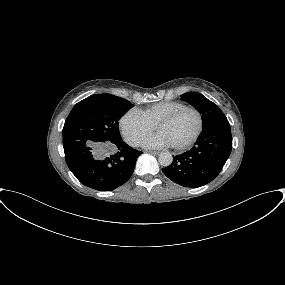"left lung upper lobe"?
Instances as JSON below:
<instances>
[{
	"instance_id": "5c2ea615",
	"label": "left lung upper lobe",
	"mask_w": 285,
	"mask_h": 285,
	"mask_svg": "<svg viewBox=\"0 0 285 285\" xmlns=\"http://www.w3.org/2000/svg\"><path fill=\"white\" fill-rule=\"evenodd\" d=\"M202 114L203 127L215 123H228L226 116L219 107L197 92H187L181 96Z\"/></svg>"
}]
</instances>
